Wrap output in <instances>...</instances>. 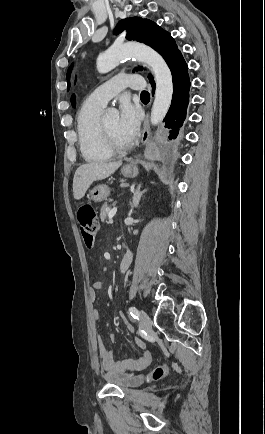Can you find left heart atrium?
<instances>
[{"label":"left heart atrium","mask_w":265,"mask_h":434,"mask_svg":"<svg viewBox=\"0 0 265 434\" xmlns=\"http://www.w3.org/2000/svg\"><path fill=\"white\" fill-rule=\"evenodd\" d=\"M120 101L119 134L124 141L131 143L139 131L141 111L139 107L132 105L126 97H122Z\"/></svg>","instance_id":"1"}]
</instances>
